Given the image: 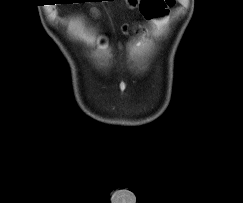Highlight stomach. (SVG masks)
Instances as JSON below:
<instances>
[{
  "label": "stomach",
  "instance_id": "0dacf381",
  "mask_svg": "<svg viewBox=\"0 0 243 203\" xmlns=\"http://www.w3.org/2000/svg\"><path fill=\"white\" fill-rule=\"evenodd\" d=\"M141 0H126L127 5L130 8L137 7Z\"/></svg>",
  "mask_w": 243,
  "mask_h": 203
}]
</instances>
